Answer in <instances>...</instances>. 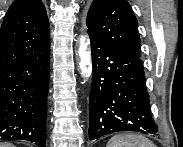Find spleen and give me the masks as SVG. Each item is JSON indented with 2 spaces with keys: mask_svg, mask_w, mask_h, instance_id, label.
<instances>
[{
  "mask_svg": "<svg viewBox=\"0 0 183 147\" xmlns=\"http://www.w3.org/2000/svg\"><path fill=\"white\" fill-rule=\"evenodd\" d=\"M107 147H156V145L141 135L119 134L108 141Z\"/></svg>",
  "mask_w": 183,
  "mask_h": 147,
  "instance_id": "spleen-1",
  "label": "spleen"
}]
</instances>
